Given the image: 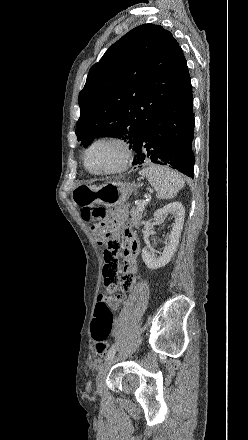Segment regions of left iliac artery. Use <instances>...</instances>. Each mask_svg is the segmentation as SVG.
<instances>
[{
    "label": "left iliac artery",
    "instance_id": "44dca946",
    "mask_svg": "<svg viewBox=\"0 0 248 440\" xmlns=\"http://www.w3.org/2000/svg\"><path fill=\"white\" fill-rule=\"evenodd\" d=\"M115 352H116L115 346L112 345V347L109 349L105 359L107 360V359L113 357L115 355Z\"/></svg>",
    "mask_w": 248,
    "mask_h": 440
}]
</instances>
